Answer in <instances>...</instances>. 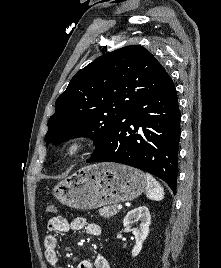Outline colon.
<instances>
[{
  "instance_id": "obj_1",
  "label": "colon",
  "mask_w": 221,
  "mask_h": 268,
  "mask_svg": "<svg viewBox=\"0 0 221 268\" xmlns=\"http://www.w3.org/2000/svg\"><path fill=\"white\" fill-rule=\"evenodd\" d=\"M46 212L48 214H55L57 212V207L55 205L50 204L46 207Z\"/></svg>"
}]
</instances>
